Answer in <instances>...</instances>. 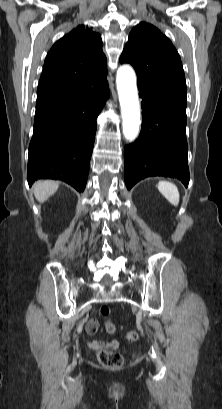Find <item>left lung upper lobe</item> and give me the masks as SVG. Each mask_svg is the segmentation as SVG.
I'll return each instance as SVG.
<instances>
[{"label": "left lung upper lobe", "instance_id": "1", "mask_svg": "<svg viewBox=\"0 0 222 409\" xmlns=\"http://www.w3.org/2000/svg\"><path fill=\"white\" fill-rule=\"evenodd\" d=\"M120 62L133 65L140 92L186 101V81L179 54L153 25L141 22L132 29Z\"/></svg>", "mask_w": 222, "mask_h": 409}]
</instances>
